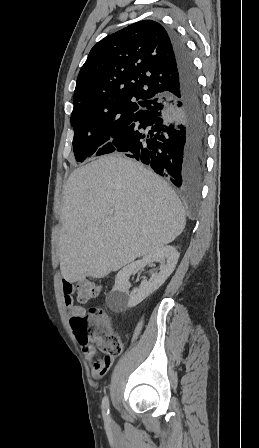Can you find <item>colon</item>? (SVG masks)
I'll list each match as a JSON object with an SVG mask.
<instances>
[{
	"instance_id": "obj_1",
	"label": "colon",
	"mask_w": 259,
	"mask_h": 448,
	"mask_svg": "<svg viewBox=\"0 0 259 448\" xmlns=\"http://www.w3.org/2000/svg\"><path fill=\"white\" fill-rule=\"evenodd\" d=\"M102 291L101 285L93 279H84L76 285L79 302L86 303L97 298ZM80 344L95 343L106 356H118L122 352V341L114 333L107 313L99 308H90L83 316L71 320Z\"/></svg>"
}]
</instances>
